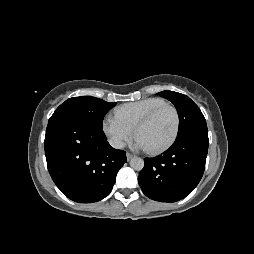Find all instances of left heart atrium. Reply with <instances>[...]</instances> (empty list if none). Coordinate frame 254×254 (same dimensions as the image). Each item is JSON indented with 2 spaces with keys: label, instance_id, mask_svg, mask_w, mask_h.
Returning <instances> with one entry per match:
<instances>
[{
  "label": "left heart atrium",
  "instance_id": "obj_1",
  "mask_svg": "<svg viewBox=\"0 0 254 254\" xmlns=\"http://www.w3.org/2000/svg\"><path fill=\"white\" fill-rule=\"evenodd\" d=\"M133 146L137 149H148L145 141L139 136L135 138Z\"/></svg>",
  "mask_w": 254,
  "mask_h": 254
}]
</instances>
